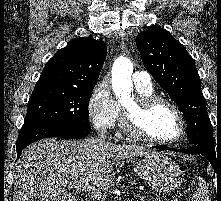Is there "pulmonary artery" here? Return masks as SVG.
Returning <instances> with one entry per match:
<instances>
[{
    "mask_svg": "<svg viewBox=\"0 0 221 201\" xmlns=\"http://www.w3.org/2000/svg\"><path fill=\"white\" fill-rule=\"evenodd\" d=\"M133 83L138 88H148L152 86L150 75L143 71L133 74Z\"/></svg>",
    "mask_w": 221,
    "mask_h": 201,
    "instance_id": "1",
    "label": "pulmonary artery"
}]
</instances>
